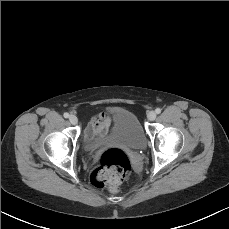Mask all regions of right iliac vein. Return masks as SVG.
Here are the masks:
<instances>
[{
  "instance_id": "right-iliac-vein-1",
  "label": "right iliac vein",
  "mask_w": 229,
  "mask_h": 229,
  "mask_svg": "<svg viewBox=\"0 0 229 229\" xmlns=\"http://www.w3.org/2000/svg\"><path fill=\"white\" fill-rule=\"evenodd\" d=\"M69 121L71 124L75 125L78 123V118L75 115H70L69 116Z\"/></svg>"
}]
</instances>
